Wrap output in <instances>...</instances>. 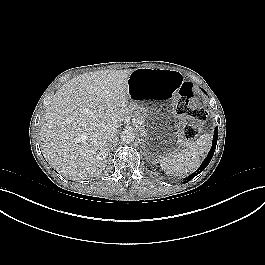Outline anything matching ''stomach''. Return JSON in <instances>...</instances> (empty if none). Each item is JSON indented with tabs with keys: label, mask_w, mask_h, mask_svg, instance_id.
<instances>
[{
	"label": "stomach",
	"mask_w": 265,
	"mask_h": 265,
	"mask_svg": "<svg viewBox=\"0 0 265 265\" xmlns=\"http://www.w3.org/2000/svg\"><path fill=\"white\" fill-rule=\"evenodd\" d=\"M181 78L177 71L152 68L134 69L128 78L127 114L141 150L152 159H166L178 147L176 112L170 101L178 94Z\"/></svg>",
	"instance_id": "1"
}]
</instances>
